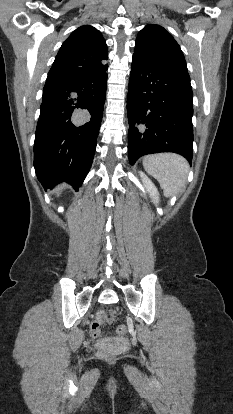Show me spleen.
Masks as SVG:
<instances>
[{"mask_svg":"<svg viewBox=\"0 0 233 414\" xmlns=\"http://www.w3.org/2000/svg\"><path fill=\"white\" fill-rule=\"evenodd\" d=\"M143 166L159 182L166 196L176 195L186 186L189 164L178 154L149 155L143 159Z\"/></svg>","mask_w":233,"mask_h":414,"instance_id":"obj_1","label":"spleen"}]
</instances>
